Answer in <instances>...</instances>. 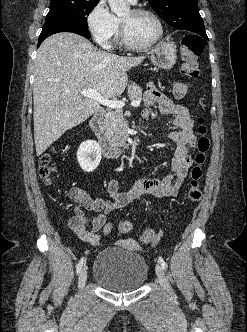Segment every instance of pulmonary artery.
Masks as SVG:
<instances>
[{
  "instance_id": "obj_1",
  "label": "pulmonary artery",
  "mask_w": 247,
  "mask_h": 332,
  "mask_svg": "<svg viewBox=\"0 0 247 332\" xmlns=\"http://www.w3.org/2000/svg\"><path fill=\"white\" fill-rule=\"evenodd\" d=\"M130 3L135 4L137 0H128Z\"/></svg>"
}]
</instances>
